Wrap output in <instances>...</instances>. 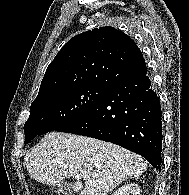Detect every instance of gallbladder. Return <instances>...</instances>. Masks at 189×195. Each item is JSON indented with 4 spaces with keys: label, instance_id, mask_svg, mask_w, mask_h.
<instances>
[{
    "label": "gallbladder",
    "instance_id": "gallbladder-1",
    "mask_svg": "<svg viewBox=\"0 0 189 195\" xmlns=\"http://www.w3.org/2000/svg\"><path fill=\"white\" fill-rule=\"evenodd\" d=\"M58 191L62 193V195H74L72 186L68 182H62L58 185Z\"/></svg>",
    "mask_w": 189,
    "mask_h": 195
}]
</instances>
